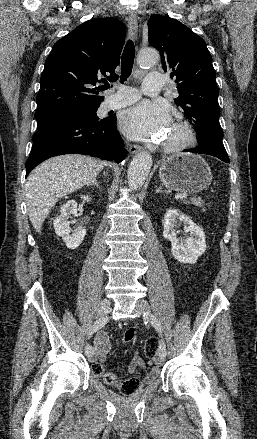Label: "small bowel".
I'll return each mask as SVG.
<instances>
[{"instance_id": "c3829d8e", "label": "small bowel", "mask_w": 257, "mask_h": 439, "mask_svg": "<svg viewBox=\"0 0 257 439\" xmlns=\"http://www.w3.org/2000/svg\"><path fill=\"white\" fill-rule=\"evenodd\" d=\"M94 352L96 359L104 360L111 348L110 338L105 331H100L93 341ZM146 364L143 359L135 353L129 363V372L133 375L140 374L146 368ZM149 371L142 378V383L150 384L159 374V368L155 361L148 363Z\"/></svg>"}]
</instances>
